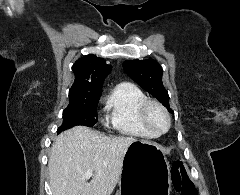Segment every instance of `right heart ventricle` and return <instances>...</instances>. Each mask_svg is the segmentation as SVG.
Here are the masks:
<instances>
[{"instance_id": "1", "label": "right heart ventricle", "mask_w": 240, "mask_h": 195, "mask_svg": "<svg viewBox=\"0 0 240 195\" xmlns=\"http://www.w3.org/2000/svg\"><path fill=\"white\" fill-rule=\"evenodd\" d=\"M147 100L140 88L130 83L116 86L106 103V122L108 128L117 134L142 139H152L156 135L146 129L139 115L141 104Z\"/></svg>"}]
</instances>
